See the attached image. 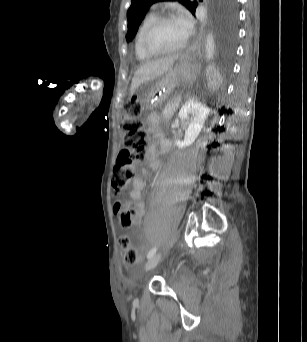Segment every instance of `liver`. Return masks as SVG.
<instances>
[{
	"label": "liver",
	"mask_w": 307,
	"mask_h": 342,
	"mask_svg": "<svg viewBox=\"0 0 307 342\" xmlns=\"http://www.w3.org/2000/svg\"><path fill=\"white\" fill-rule=\"evenodd\" d=\"M176 58H178V54H176V56H170V58L149 60V62H146V64H142V66L137 68L136 72H134L130 86V94H135L139 86H141L143 82H146V80H156V78L163 76L165 72H169Z\"/></svg>",
	"instance_id": "6515ba94"
}]
</instances>
